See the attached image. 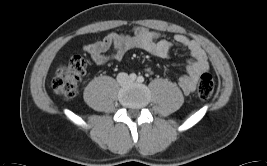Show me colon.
Here are the masks:
<instances>
[{"label": "colon", "instance_id": "5ec220e1", "mask_svg": "<svg viewBox=\"0 0 267 166\" xmlns=\"http://www.w3.org/2000/svg\"><path fill=\"white\" fill-rule=\"evenodd\" d=\"M86 61L80 56L71 58L66 64L59 66L52 81L53 90L65 99L74 97L79 84L86 72ZM214 90V80L211 74L205 72L200 76L198 96L202 101H208Z\"/></svg>", "mask_w": 267, "mask_h": 166}]
</instances>
